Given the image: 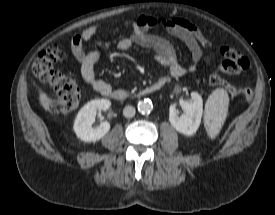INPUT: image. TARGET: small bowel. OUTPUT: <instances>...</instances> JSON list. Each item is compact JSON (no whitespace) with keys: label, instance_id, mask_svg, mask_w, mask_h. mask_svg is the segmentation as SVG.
<instances>
[{"label":"small bowel","instance_id":"small-bowel-1","mask_svg":"<svg viewBox=\"0 0 275 215\" xmlns=\"http://www.w3.org/2000/svg\"><path fill=\"white\" fill-rule=\"evenodd\" d=\"M131 26L132 34L118 40L114 45L115 50L127 51L134 45L152 49L155 59L169 70V75L163 77L166 80L194 72L202 58V48L212 47L211 42L199 27L184 18H164L143 14L133 21ZM156 26L162 27L167 33L186 44L191 53L189 65L184 66L177 60L175 49L169 41L149 32ZM99 29V26L92 25L81 33L75 34L71 39V51L80 64L84 82L96 92L106 96L111 91V86L99 79L95 72V65L102 56V50L94 49L85 52L83 48V42L93 38Z\"/></svg>","mask_w":275,"mask_h":215}]
</instances>
